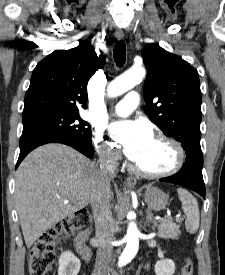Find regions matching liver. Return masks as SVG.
<instances>
[{
	"instance_id": "6515ba94",
	"label": "liver",
	"mask_w": 225,
	"mask_h": 275,
	"mask_svg": "<svg viewBox=\"0 0 225 275\" xmlns=\"http://www.w3.org/2000/svg\"><path fill=\"white\" fill-rule=\"evenodd\" d=\"M99 180L98 167L69 146L46 144L28 154L15 179V202L26 246L30 248L52 226L91 203Z\"/></svg>"
}]
</instances>
